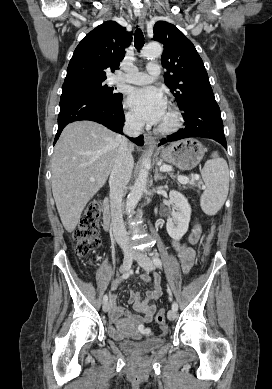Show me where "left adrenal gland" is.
Returning <instances> with one entry per match:
<instances>
[{
  "mask_svg": "<svg viewBox=\"0 0 272 389\" xmlns=\"http://www.w3.org/2000/svg\"><path fill=\"white\" fill-rule=\"evenodd\" d=\"M165 178H166L165 176H163V175H161V174L159 173L158 168H156L155 174H154V180H155V181H158V180H160V179H165Z\"/></svg>",
  "mask_w": 272,
  "mask_h": 389,
  "instance_id": "1",
  "label": "left adrenal gland"
}]
</instances>
